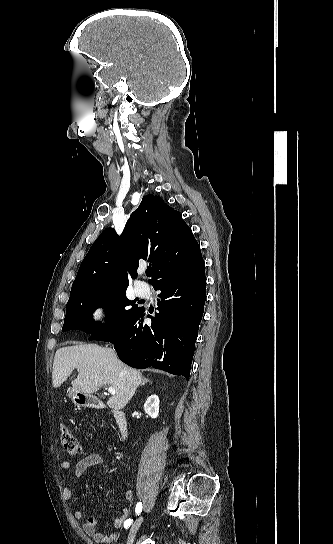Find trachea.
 I'll return each mask as SVG.
<instances>
[{"mask_svg": "<svg viewBox=\"0 0 333 544\" xmlns=\"http://www.w3.org/2000/svg\"><path fill=\"white\" fill-rule=\"evenodd\" d=\"M146 275H147L148 277H150V276L152 275L151 269H147V270H146Z\"/></svg>", "mask_w": 333, "mask_h": 544, "instance_id": "obj_1", "label": "trachea"}]
</instances>
